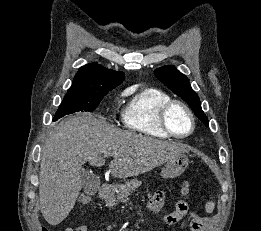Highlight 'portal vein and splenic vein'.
<instances>
[{
	"mask_svg": "<svg viewBox=\"0 0 261 231\" xmlns=\"http://www.w3.org/2000/svg\"><path fill=\"white\" fill-rule=\"evenodd\" d=\"M106 156H113V155H116V153H113V154H110V153H108V154H105Z\"/></svg>",
	"mask_w": 261,
	"mask_h": 231,
	"instance_id": "1",
	"label": "portal vein and splenic vein"
}]
</instances>
